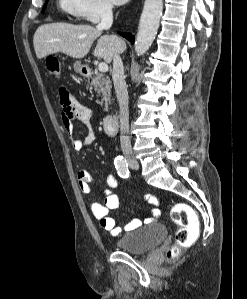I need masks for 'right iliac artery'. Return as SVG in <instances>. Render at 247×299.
<instances>
[{
    "mask_svg": "<svg viewBox=\"0 0 247 299\" xmlns=\"http://www.w3.org/2000/svg\"><path fill=\"white\" fill-rule=\"evenodd\" d=\"M114 164L120 177H129V169L126 159H124L122 156H118L115 158Z\"/></svg>",
    "mask_w": 247,
    "mask_h": 299,
    "instance_id": "right-iliac-artery-1",
    "label": "right iliac artery"
}]
</instances>
